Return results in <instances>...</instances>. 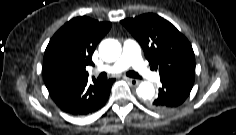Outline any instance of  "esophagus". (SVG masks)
Returning <instances> with one entry per match:
<instances>
[{"label":"esophagus","instance_id":"obj_1","mask_svg":"<svg viewBox=\"0 0 236 135\" xmlns=\"http://www.w3.org/2000/svg\"><path fill=\"white\" fill-rule=\"evenodd\" d=\"M125 79L132 85V86H136L139 84V81L137 79H133V78H127L125 77Z\"/></svg>","mask_w":236,"mask_h":135}]
</instances>
